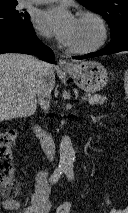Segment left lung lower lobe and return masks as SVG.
Masks as SVG:
<instances>
[{
    "label": "left lung lower lobe",
    "mask_w": 128,
    "mask_h": 213,
    "mask_svg": "<svg viewBox=\"0 0 128 213\" xmlns=\"http://www.w3.org/2000/svg\"><path fill=\"white\" fill-rule=\"evenodd\" d=\"M128 50V30H125L118 34L116 37H112L111 42L100 51L85 55L73 57L74 59H86L91 57H97L104 54L117 53L120 51Z\"/></svg>",
    "instance_id": "1"
}]
</instances>
